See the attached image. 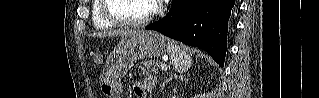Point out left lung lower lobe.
I'll return each instance as SVG.
<instances>
[{
  "mask_svg": "<svg viewBox=\"0 0 319 98\" xmlns=\"http://www.w3.org/2000/svg\"><path fill=\"white\" fill-rule=\"evenodd\" d=\"M235 0H173L169 13L145 29L156 30L187 45L204 49L221 67ZM204 9L202 14L200 10Z\"/></svg>",
  "mask_w": 319,
  "mask_h": 98,
  "instance_id": "obj_1",
  "label": "left lung lower lobe"
}]
</instances>
